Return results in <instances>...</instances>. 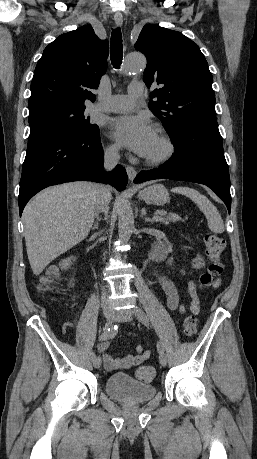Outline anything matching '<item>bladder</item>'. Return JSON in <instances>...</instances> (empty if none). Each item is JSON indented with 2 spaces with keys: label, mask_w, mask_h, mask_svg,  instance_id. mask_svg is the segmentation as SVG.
Returning a JSON list of instances; mask_svg holds the SVG:
<instances>
[{
  "label": "bladder",
  "mask_w": 257,
  "mask_h": 459,
  "mask_svg": "<svg viewBox=\"0 0 257 459\" xmlns=\"http://www.w3.org/2000/svg\"><path fill=\"white\" fill-rule=\"evenodd\" d=\"M109 397L128 404L146 403L156 395L153 385L135 380L128 373H114L105 383Z\"/></svg>",
  "instance_id": "1"
}]
</instances>
